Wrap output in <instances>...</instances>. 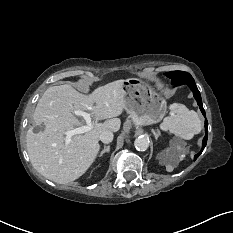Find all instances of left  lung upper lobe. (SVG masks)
I'll return each mask as SVG.
<instances>
[{"label": "left lung upper lobe", "mask_w": 233, "mask_h": 233, "mask_svg": "<svg viewBox=\"0 0 233 233\" xmlns=\"http://www.w3.org/2000/svg\"><path fill=\"white\" fill-rule=\"evenodd\" d=\"M165 75L167 77L171 78L172 82L173 81H182V80L187 79V78H192V76L189 73L183 72V71L168 72V73H165Z\"/></svg>", "instance_id": "5c2ea615"}]
</instances>
